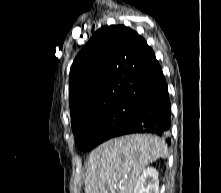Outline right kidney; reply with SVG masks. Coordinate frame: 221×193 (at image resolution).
Wrapping results in <instances>:
<instances>
[{
  "label": "right kidney",
  "instance_id": "obj_1",
  "mask_svg": "<svg viewBox=\"0 0 221 193\" xmlns=\"http://www.w3.org/2000/svg\"><path fill=\"white\" fill-rule=\"evenodd\" d=\"M133 193H159L158 171L153 167L144 169Z\"/></svg>",
  "mask_w": 221,
  "mask_h": 193
}]
</instances>
